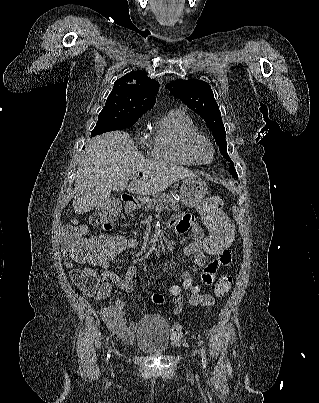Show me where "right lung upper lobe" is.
Segmentation results:
<instances>
[{
  "instance_id": "1",
  "label": "right lung upper lobe",
  "mask_w": 319,
  "mask_h": 403,
  "mask_svg": "<svg viewBox=\"0 0 319 403\" xmlns=\"http://www.w3.org/2000/svg\"><path fill=\"white\" fill-rule=\"evenodd\" d=\"M158 89L159 83L143 72H131L115 81L105 105L124 106L145 113L155 104Z\"/></svg>"
}]
</instances>
